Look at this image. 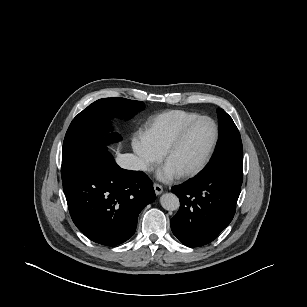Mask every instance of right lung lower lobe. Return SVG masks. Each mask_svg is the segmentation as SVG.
<instances>
[{
	"instance_id": "98d812e1",
	"label": "right lung lower lobe",
	"mask_w": 307,
	"mask_h": 307,
	"mask_svg": "<svg viewBox=\"0 0 307 307\" xmlns=\"http://www.w3.org/2000/svg\"><path fill=\"white\" fill-rule=\"evenodd\" d=\"M63 190L77 228L107 246L127 241L141 210L156 198L145 173L121 169L107 150L63 181Z\"/></svg>"
}]
</instances>
